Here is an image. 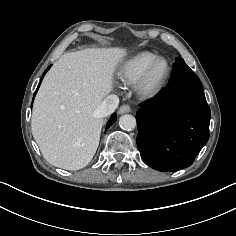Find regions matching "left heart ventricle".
Wrapping results in <instances>:
<instances>
[{
    "label": "left heart ventricle",
    "mask_w": 236,
    "mask_h": 236,
    "mask_svg": "<svg viewBox=\"0 0 236 236\" xmlns=\"http://www.w3.org/2000/svg\"><path fill=\"white\" fill-rule=\"evenodd\" d=\"M164 70H165V65L163 63H161L153 73V76H152V83L153 84L157 83L160 80Z\"/></svg>",
    "instance_id": "1"
}]
</instances>
